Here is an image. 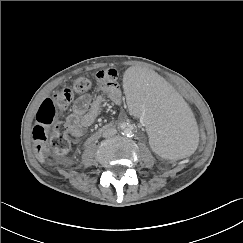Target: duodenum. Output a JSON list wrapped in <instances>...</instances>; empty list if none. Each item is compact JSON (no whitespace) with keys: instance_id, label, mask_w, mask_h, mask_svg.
I'll list each match as a JSON object with an SVG mask.
<instances>
[{"instance_id":"1","label":"duodenum","mask_w":243,"mask_h":243,"mask_svg":"<svg viewBox=\"0 0 243 243\" xmlns=\"http://www.w3.org/2000/svg\"><path fill=\"white\" fill-rule=\"evenodd\" d=\"M102 132H103V129H99L97 132H95V133L88 139V141H90V140H92V139H95V138L101 136Z\"/></svg>"}]
</instances>
